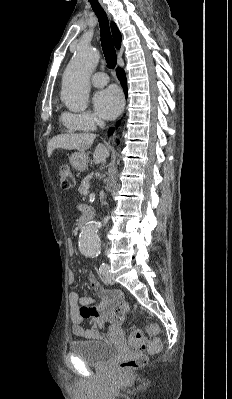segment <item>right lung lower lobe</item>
<instances>
[{"label":"right lung lower lobe","mask_w":232,"mask_h":399,"mask_svg":"<svg viewBox=\"0 0 232 399\" xmlns=\"http://www.w3.org/2000/svg\"><path fill=\"white\" fill-rule=\"evenodd\" d=\"M116 73H117V76H118V78H119V80L121 82V85H122L123 89H124V92L127 95V84H126V77H125L124 70L121 69V68H117L116 69ZM117 126H118V123H117ZM112 132H113V128H111L109 130V134H111Z\"/></svg>","instance_id":"right-lung-lower-lobe-1"}]
</instances>
